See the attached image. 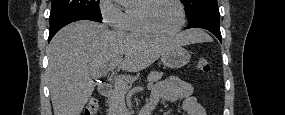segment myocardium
<instances>
[{
    "mask_svg": "<svg viewBox=\"0 0 285 115\" xmlns=\"http://www.w3.org/2000/svg\"><path fill=\"white\" fill-rule=\"evenodd\" d=\"M158 1L162 0H145L143 4L140 5V20L145 30L153 36H160V37H168L178 34L183 29L186 23V12L183 3L180 0H168L177 5L180 14V22L175 30L169 32H163L153 27L147 15L152 5Z\"/></svg>",
    "mask_w": 285,
    "mask_h": 115,
    "instance_id": "myocardium-1",
    "label": "myocardium"
}]
</instances>
